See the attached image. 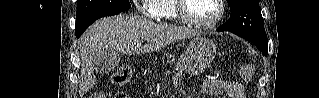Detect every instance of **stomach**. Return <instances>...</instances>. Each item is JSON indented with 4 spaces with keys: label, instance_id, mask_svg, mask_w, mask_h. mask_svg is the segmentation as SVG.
Here are the masks:
<instances>
[{
    "label": "stomach",
    "instance_id": "stomach-1",
    "mask_svg": "<svg viewBox=\"0 0 319 98\" xmlns=\"http://www.w3.org/2000/svg\"><path fill=\"white\" fill-rule=\"evenodd\" d=\"M216 55V45L208 38L195 36L183 54V66L190 74L206 70Z\"/></svg>",
    "mask_w": 319,
    "mask_h": 98
}]
</instances>
